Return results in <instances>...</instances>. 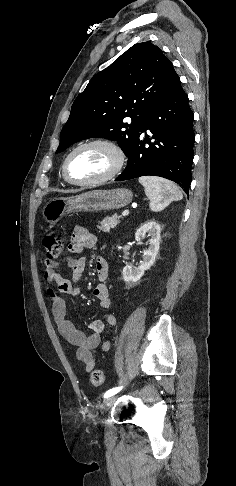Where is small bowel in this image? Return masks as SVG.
Returning <instances> with one entry per match:
<instances>
[{"label":"small bowel","mask_w":236,"mask_h":486,"mask_svg":"<svg viewBox=\"0 0 236 486\" xmlns=\"http://www.w3.org/2000/svg\"><path fill=\"white\" fill-rule=\"evenodd\" d=\"M97 241V236L86 227L76 226L69 243L71 255L64 260L46 261L44 270L47 294L50 298L51 311L58 331L71 345L76 347V357L88 372L95 367L93 350L100 345L104 352L109 350L110 341L107 340L101 344V334L106 326H114L116 324V316L113 313H108L105 321H94L90 325L91 331L89 333L83 332L66 318L67 305L64 296H76L79 293L77 283L85 270L86 259L76 255L85 249L94 248ZM64 263L71 269V280L62 277L57 272V268ZM95 268L99 283L94 288L93 295L99 302L100 307L107 309L111 305V300L105 284L108 276V263L105 258L97 257ZM53 286H56L58 292L54 291Z\"/></svg>","instance_id":"small-bowel-1"}]
</instances>
